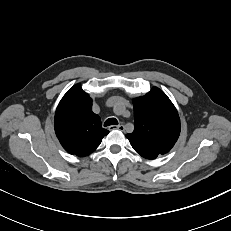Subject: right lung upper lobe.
I'll return each instance as SVG.
<instances>
[{
    "label": "right lung upper lobe",
    "instance_id": "obj_1",
    "mask_svg": "<svg viewBox=\"0 0 231 231\" xmlns=\"http://www.w3.org/2000/svg\"><path fill=\"white\" fill-rule=\"evenodd\" d=\"M54 127L63 148L79 157L92 153L109 131L92 112V99L80 84L74 85L61 99L55 114Z\"/></svg>",
    "mask_w": 231,
    "mask_h": 231
}]
</instances>
